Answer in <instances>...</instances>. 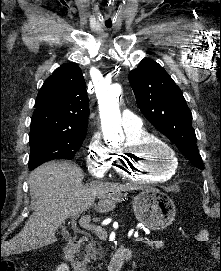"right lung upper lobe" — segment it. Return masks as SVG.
Here are the masks:
<instances>
[{"label": "right lung upper lobe", "mask_w": 221, "mask_h": 271, "mask_svg": "<svg viewBox=\"0 0 221 271\" xmlns=\"http://www.w3.org/2000/svg\"><path fill=\"white\" fill-rule=\"evenodd\" d=\"M89 100L78 65L63 64L48 77L36 98L31 131L87 132Z\"/></svg>", "instance_id": "cb5924a9"}]
</instances>
